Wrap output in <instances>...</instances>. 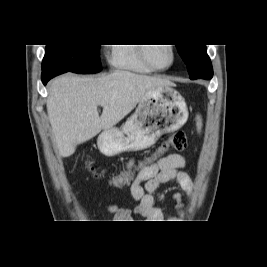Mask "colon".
Segmentation results:
<instances>
[{
  "instance_id": "1",
  "label": "colon",
  "mask_w": 267,
  "mask_h": 267,
  "mask_svg": "<svg viewBox=\"0 0 267 267\" xmlns=\"http://www.w3.org/2000/svg\"><path fill=\"white\" fill-rule=\"evenodd\" d=\"M187 147V136L183 130L172 133L157 149V151L147 158L146 160L139 163V166L150 165L157 161L164 154L171 151H183ZM87 168L91 172H95V167L92 162H87ZM135 173H129L128 170L118 171L116 175H111L112 188H121L122 185H128L129 182H133Z\"/></svg>"
}]
</instances>
